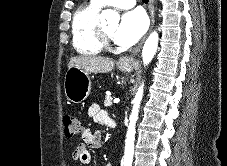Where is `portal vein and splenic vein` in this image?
<instances>
[{
    "mask_svg": "<svg viewBox=\"0 0 227 166\" xmlns=\"http://www.w3.org/2000/svg\"><path fill=\"white\" fill-rule=\"evenodd\" d=\"M120 100L119 99H116V100H114V103H118Z\"/></svg>",
    "mask_w": 227,
    "mask_h": 166,
    "instance_id": "18ae733b",
    "label": "portal vein and splenic vein"
}]
</instances>
